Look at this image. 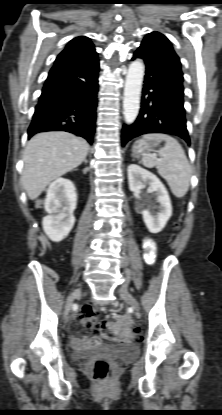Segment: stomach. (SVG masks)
Returning a JSON list of instances; mask_svg holds the SVG:
<instances>
[{"label":"stomach","instance_id":"obj_1","mask_svg":"<svg viewBox=\"0 0 222 415\" xmlns=\"http://www.w3.org/2000/svg\"><path fill=\"white\" fill-rule=\"evenodd\" d=\"M160 141H148L144 139L137 140L132 147V155L140 157L143 154H147L154 151V148L159 145Z\"/></svg>","mask_w":222,"mask_h":415}]
</instances>
